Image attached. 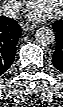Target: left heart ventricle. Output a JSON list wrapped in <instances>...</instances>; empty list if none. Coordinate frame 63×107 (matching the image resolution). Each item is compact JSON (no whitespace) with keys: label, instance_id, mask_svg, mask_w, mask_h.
Segmentation results:
<instances>
[{"label":"left heart ventricle","instance_id":"b2bd125f","mask_svg":"<svg viewBox=\"0 0 63 107\" xmlns=\"http://www.w3.org/2000/svg\"><path fill=\"white\" fill-rule=\"evenodd\" d=\"M34 4H37L36 7L46 12H53L58 8L60 0H38Z\"/></svg>","mask_w":63,"mask_h":107}]
</instances>
